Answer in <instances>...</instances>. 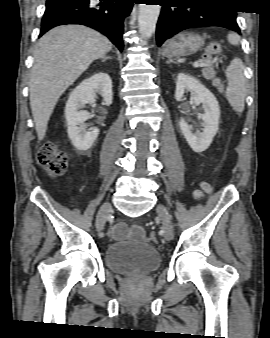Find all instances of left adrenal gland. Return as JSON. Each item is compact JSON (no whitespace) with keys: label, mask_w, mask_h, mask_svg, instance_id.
I'll return each mask as SVG.
<instances>
[{"label":"left adrenal gland","mask_w":270,"mask_h":338,"mask_svg":"<svg viewBox=\"0 0 270 338\" xmlns=\"http://www.w3.org/2000/svg\"><path fill=\"white\" fill-rule=\"evenodd\" d=\"M167 63H176V62L173 61L172 59H169V60L167 61Z\"/></svg>","instance_id":"left-adrenal-gland-1"}]
</instances>
